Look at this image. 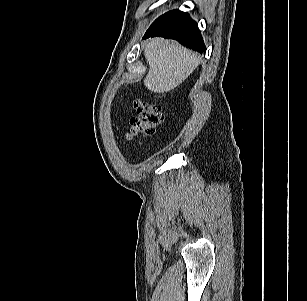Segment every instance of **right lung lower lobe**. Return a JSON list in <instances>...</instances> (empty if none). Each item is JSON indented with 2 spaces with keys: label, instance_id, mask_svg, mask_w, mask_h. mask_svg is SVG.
Listing matches in <instances>:
<instances>
[{
  "label": "right lung lower lobe",
  "instance_id": "obj_1",
  "mask_svg": "<svg viewBox=\"0 0 307 301\" xmlns=\"http://www.w3.org/2000/svg\"><path fill=\"white\" fill-rule=\"evenodd\" d=\"M155 36L176 39L184 46L200 53L206 51L197 23L180 10L169 11L155 20L143 38Z\"/></svg>",
  "mask_w": 307,
  "mask_h": 301
}]
</instances>
